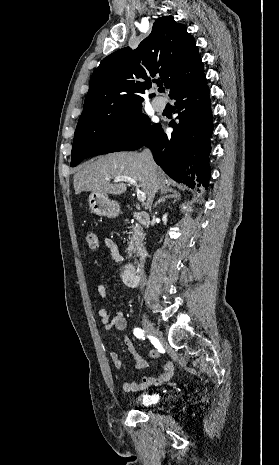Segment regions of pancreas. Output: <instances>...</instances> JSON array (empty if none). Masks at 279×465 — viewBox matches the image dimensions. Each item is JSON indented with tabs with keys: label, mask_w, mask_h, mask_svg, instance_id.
<instances>
[{
	"label": "pancreas",
	"mask_w": 279,
	"mask_h": 465,
	"mask_svg": "<svg viewBox=\"0 0 279 465\" xmlns=\"http://www.w3.org/2000/svg\"><path fill=\"white\" fill-rule=\"evenodd\" d=\"M131 236H129L128 248L126 252L128 256L131 257L133 253H135L141 246L142 241L144 239V234L142 227L139 224H134L131 227Z\"/></svg>",
	"instance_id": "1"
}]
</instances>
